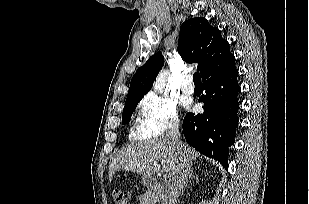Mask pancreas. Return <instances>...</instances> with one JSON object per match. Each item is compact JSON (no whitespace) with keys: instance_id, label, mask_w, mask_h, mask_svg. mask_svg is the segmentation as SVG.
I'll return each instance as SVG.
<instances>
[{"instance_id":"cf45deb5","label":"pancreas","mask_w":309,"mask_h":204,"mask_svg":"<svg viewBox=\"0 0 309 204\" xmlns=\"http://www.w3.org/2000/svg\"><path fill=\"white\" fill-rule=\"evenodd\" d=\"M162 192V187L158 188V190L156 189H151L149 191H147L146 193H144L141 198L142 200L147 198H150L151 200H159L160 197V193Z\"/></svg>"}]
</instances>
